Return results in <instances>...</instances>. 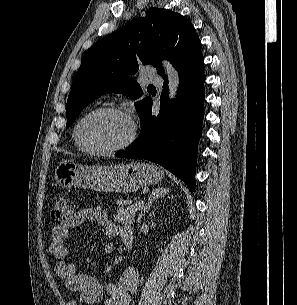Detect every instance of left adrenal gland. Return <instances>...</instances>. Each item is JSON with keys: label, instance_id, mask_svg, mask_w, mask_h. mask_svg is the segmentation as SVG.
Masks as SVG:
<instances>
[{"label": "left adrenal gland", "instance_id": "a2214340", "mask_svg": "<svg viewBox=\"0 0 297 305\" xmlns=\"http://www.w3.org/2000/svg\"><path fill=\"white\" fill-rule=\"evenodd\" d=\"M169 189L167 188H157L152 190L151 194L148 196V201L145 205V207L143 208L142 212L140 213L137 222L139 223L141 221V219L143 218V216L149 211L150 206L152 205V203L158 199L159 197H164L168 194Z\"/></svg>", "mask_w": 297, "mask_h": 305}]
</instances>
